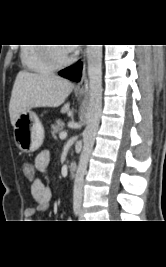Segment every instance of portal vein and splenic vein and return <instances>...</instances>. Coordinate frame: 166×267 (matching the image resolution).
<instances>
[{
    "label": "portal vein and splenic vein",
    "instance_id": "1",
    "mask_svg": "<svg viewBox=\"0 0 166 267\" xmlns=\"http://www.w3.org/2000/svg\"><path fill=\"white\" fill-rule=\"evenodd\" d=\"M60 139H65L67 137V133L66 132H61L59 135Z\"/></svg>",
    "mask_w": 166,
    "mask_h": 267
}]
</instances>
